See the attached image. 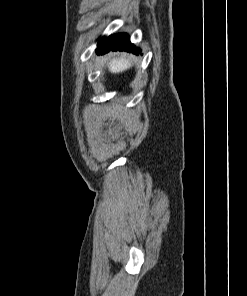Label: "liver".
<instances>
[{
	"label": "liver",
	"instance_id": "1",
	"mask_svg": "<svg viewBox=\"0 0 247 296\" xmlns=\"http://www.w3.org/2000/svg\"><path fill=\"white\" fill-rule=\"evenodd\" d=\"M131 67V62L126 58H113L108 63V68L111 73H120Z\"/></svg>",
	"mask_w": 247,
	"mask_h": 296
}]
</instances>
